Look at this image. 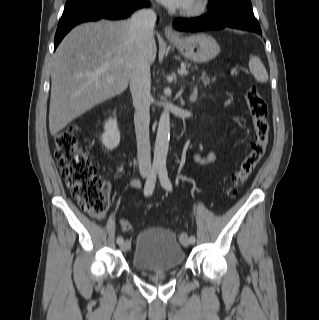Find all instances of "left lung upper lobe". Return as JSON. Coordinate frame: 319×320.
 Listing matches in <instances>:
<instances>
[{
	"label": "left lung upper lobe",
	"instance_id": "obj_1",
	"mask_svg": "<svg viewBox=\"0 0 319 320\" xmlns=\"http://www.w3.org/2000/svg\"><path fill=\"white\" fill-rule=\"evenodd\" d=\"M214 1H221V0H210V2H214Z\"/></svg>",
	"mask_w": 319,
	"mask_h": 320
}]
</instances>
